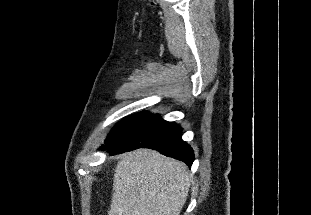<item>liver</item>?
I'll list each match as a JSON object with an SVG mask.
<instances>
[{"mask_svg":"<svg viewBox=\"0 0 311 215\" xmlns=\"http://www.w3.org/2000/svg\"><path fill=\"white\" fill-rule=\"evenodd\" d=\"M189 188L183 162L138 149L116 165L108 215H180Z\"/></svg>","mask_w":311,"mask_h":215,"instance_id":"6515ba94","label":"liver"}]
</instances>
